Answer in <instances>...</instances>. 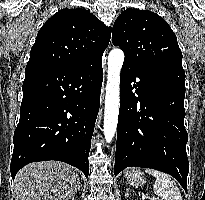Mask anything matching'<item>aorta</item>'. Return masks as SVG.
I'll use <instances>...</instances> for the list:
<instances>
[{
	"label": "aorta",
	"instance_id": "aorta-1",
	"mask_svg": "<svg viewBox=\"0 0 205 200\" xmlns=\"http://www.w3.org/2000/svg\"><path fill=\"white\" fill-rule=\"evenodd\" d=\"M124 61V53L114 48L108 55V71L104 111V137L110 143L116 133L119 114L120 71Z\"/></svg>",
	"mask_w": 205,
	"mask_h": 200
}]
</instances>
